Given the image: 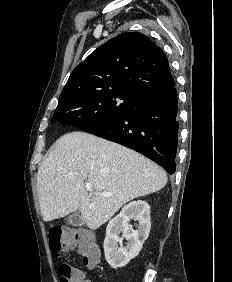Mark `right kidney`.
<instances>
[{
	"label": "right kidney",
	"mask_w": 232,
	"mask_h": 282,
	"mask_svg": "<svg viewBox=\"0 0 232 282\" xmlns=\"http://www.w3.org/2000/svg\"><path fill=\"white\" fill-rule=\"evenodd\" d=\"M139 223L138 230H132L131 219ZM150 206L142 200L133 201L125 205L120 213L111 219L106 228L104 253L106 261L112 268L124 267L135 258L142 249L144 241L150 232ZM122 233V237L119 234ZM127 245L123 246V239Z\"/></svg>",
	"instance_id": "ca27d5eb"
}]
</instances>
